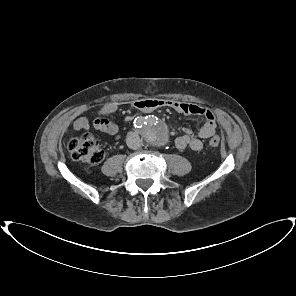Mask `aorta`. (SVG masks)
Segmentation results:
<instances>
[{
  "mask_svg": "<svg viewBox=\"0 0 296 296\" xmlns=\"http://www.w3.org/2000/svg\"><path fill=\"white\" fill-rule=\"evenodd\" d=\"M146 128L143 132V137L149 144L162 147L168 141L167 130L160 126L155 118H150L146 123Z\"/></svg>",
  "mask_w": 296,
  "mask_h": 296,
  "instance_id": "obj_1",
  "label": "aorta"
}]
</instances>
